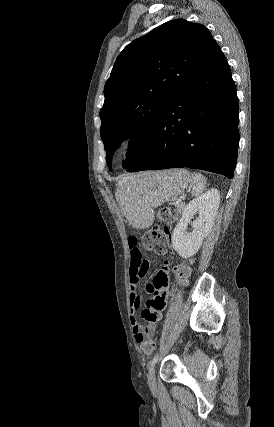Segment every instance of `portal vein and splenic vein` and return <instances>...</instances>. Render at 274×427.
Wrapping results in <instances>:
<instances>
[{"label":"portal vein and splenic vein","instance_id":"1","mask_svg":"<svg viewBox=\"0 0 274 427\" xmlns=\"http://www.w3.org/2000/svg\"><path fill=\"white\" fill-rule=\"evenodd\" d=\"M179 202H181V200H178V202H176V204H179Z\"/></svg>","mask_w":274,"mask_h":427}]
</instances>
